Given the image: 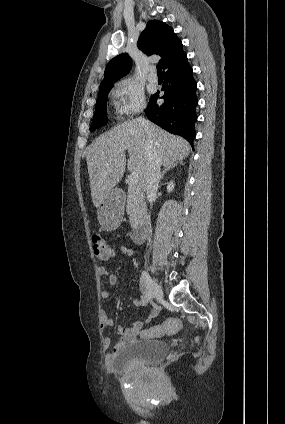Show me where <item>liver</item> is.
Here are the masks:
<instances>
[{
	"label": "liver",
	"mask_w": 285,
	"mask_h": 424,
	"mask_svg": "<svg viewBox=\"0 0 285 424\" xmlns=\"http://www.w3.org/2000/svg\"><path fill=\"white\" fill-rule=\"evenodd\" d=\"M149 132L161 164L165 167L182 162L190 152L189 143L179 136L164 131L153 123ZM147 132L137 121L121 123L95 139L86 149L91 197L95 207L108 197L121 180L126 169L139 176V186L145 190L148 173ZM125 151L129 159L126 161Z\"/></svg>",
	"instance_id": "liver-1"
}]
</instances>
